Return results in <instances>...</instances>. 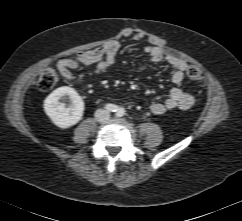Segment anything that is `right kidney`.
Masks as SVG:
<instances>
[{"label": "right kidney", "mask_w": 242, "mask_h": 221, "mask_svg": "<svg viewBox=\"0 0 242 221\" xmlns=\"http://www.w3.org/2000/svg\"><path fill=\"white\" fill-rule=\"evenodd\" d=\"M44 111L56 126L65 129L82 119L84 102L75 89L63 86L47 96Z\"/></svg>", "instance_id": "right-kidney-1"}]
</instances>
